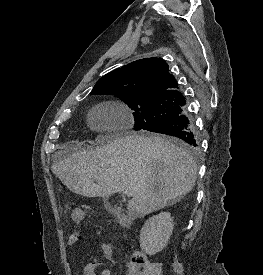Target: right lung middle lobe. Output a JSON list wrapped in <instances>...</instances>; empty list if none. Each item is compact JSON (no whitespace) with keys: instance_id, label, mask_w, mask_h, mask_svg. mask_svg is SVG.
<instances>
[{"instance_id":"dd1d6c3e","label":"right lung middle lobe","mask_w":263,"mask_h":275,"mask_svg":"<svg viewBox=\"0 0 263 275\" xmlns=\"http://www.w3.org/2000/svg\"><path fill=\"white\" fill-rule=\"evenodd\" d=\"M92 95L108 94L120 97L134 112V129L150 131L186 111L183 95H134L123 90L92 91ZM194 150V147H189Z\"/></svg>"}]
</instances>
